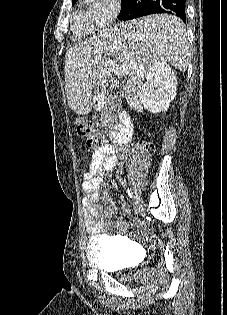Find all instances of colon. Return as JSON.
Masks as SVG:
<instances>
[{
	"mask_svg": "<svg viewBox=\"0 0 227 315\" xmlns=\"http://www.w3.org/2000/svg\"><path fill=\"white\" fill-rule=\"evenodd\" d=\"M75 123L77 133L86 138V143L89 147H99L103 144L104 135L92 120L78 117Z\"/></svg>",
	"mask_w": 227,
	"mask_h": 315,
	"instance_id": "5ec220e1",
	"label": "colon"
}]
</instances>
